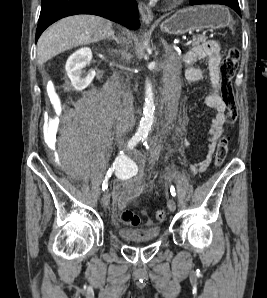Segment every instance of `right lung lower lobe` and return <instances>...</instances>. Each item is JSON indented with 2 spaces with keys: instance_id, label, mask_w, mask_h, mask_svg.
<instances>
[{
  "instance_id": "obj_1",
  "label": "right lung lower lobe",
  "mask_w": 267,
  "mask_h": 298,
  "mask_svg": "<svg viewBox=\"0 0 267 298\" xmlns=\"http://www.w3.org/2000/svg\"><path fill=\"white\" fill-rule=\"evenodd\" d=\"M75 14L102 16L134 30L140 27L135 0H42L36 41L49 25Z\"/></svg>"
}]
</instances>
